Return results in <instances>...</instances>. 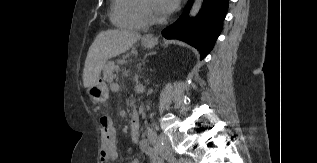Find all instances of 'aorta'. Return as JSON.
I'll use <instances>...</instances> for the list:
<instances>
[{"label": "aorta", "mask_w": 317, "mask_h": 163, "mask_svg": "<svg viewBox=\"0 0 317 163\" xmlns=\"http://www.w3.org/2000/svg\"><path fill=\"white\" fill-rule=\"evenodd\" d=\"M203 1L204 0H194L191 10L189 12V17L193 18L199 13L202 7Z\"/></svg>", "instance_id": "762f6f07"}]
</instances>
